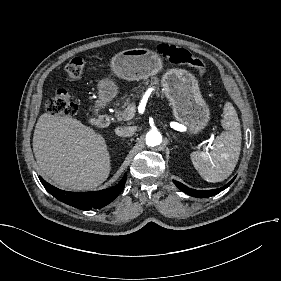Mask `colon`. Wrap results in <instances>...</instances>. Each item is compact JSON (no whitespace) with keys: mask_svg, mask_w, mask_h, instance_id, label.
Instances as JSON below:
<instances>
[{"mask_svg":"<svg viewBox=\"0 0 281 281\" xmlns=\"http://www.w3.org/2000/svg\"><path fill=\"white\" fill-rule=\"evenodd\" d=\"M157 53L173 63H185L201 73H205L206 66L204 62L190 54L187 50L174 45L162 43L156 46ZM85 69V59L75 57L65 66V74L70 80H77L82 77ZM48 112L57 116H73L77 112V105L72 96L67 91H59L47 103Z\"/></svg>","mask_w":281,"mask_h":281,"instance_id":"1","label":"colon"}]
</instances>
